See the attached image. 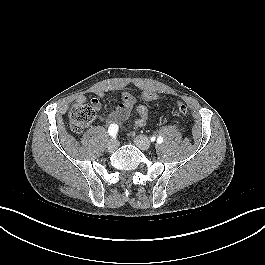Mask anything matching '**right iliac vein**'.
I'll list each match as a JSON object with an SVG mask.
<instances>
[{"mask_svg":"<svg viewBox=\"0 0 265 265\" xmlns=\"http://www.w3.org/2000/svg\"><path fill=\"white\" fill-rule=\"evenodd\" d=\"M119 146V141L116 139H112L109 141L107 148L110 152L115 151Z\"/></svg>","mask_w":265,"mask_h":265,"instance_id":"right-iliac-vein-1","label":"right iliac vein"}]
</instances>
